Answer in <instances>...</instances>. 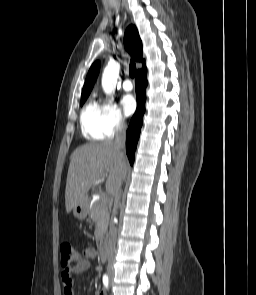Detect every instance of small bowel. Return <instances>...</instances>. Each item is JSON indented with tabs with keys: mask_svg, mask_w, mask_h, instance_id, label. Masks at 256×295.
Returning a JSON list of instances; mask_svg holds the SVG:
<instances>
[{
	"mask_svg": "<svg viewBox=\"0 0 256 295\" xmlns=\"http://www.w3.org/2000/svg\"><path fill=\"white\" fill-rule=\"evenodd\" d=\"M95 258H96V250L93 247H87L83 250L82 256L78 264L75 266V268L72 270H64L61 273V279H62V283L64 287V295H75L74 289H73L72 275L87 271L91 266V262ZM96 295H106V292L104 289L99 288L97 290Z\"/></svg>",
	"mask_w": 256,
	"mask_h": 295,
	"instance_id": "1",
	"label": "small bowel"
}]
</instances>
